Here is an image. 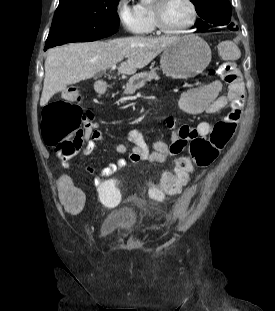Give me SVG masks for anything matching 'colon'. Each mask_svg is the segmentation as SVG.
<instances>
[{
  "label": "colon",
  "instance_id": "1",
  "mask_svg": "<svg viewBox=\"0 0 275 311\" xmlns=\"http://www.w3.org/2000/svg\"><path fill=\"white\" fill-rule=\"evenodd\" d=\"M219 73L226 82L231 81L235 74L233 63L222 62ZM69 93V99L52 102L42 112L41 130L44 142L61 159L73 158L85 148L83 126L91 118V113L84 112L76 103L79 92ZM236 122L237 119L219 118L209 138L192 137L185 146L189 154L177 159L174 173L162 174L160 184L149 189V196L155 201H162L167 196L175 195L186 184L194 168H206L214 164L232 139ZM115 185H118V178H103V183H97L100 202L108 205L119 202L120 196Z\"/></svg>",
  "mask_w": 275,
  "mask_h": 311
}]
</instances>
